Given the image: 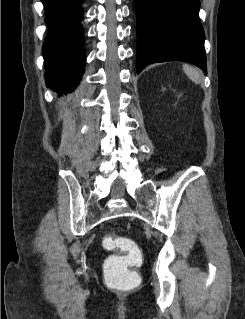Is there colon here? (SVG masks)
I'll list each match as a JSON object with an SVG mask.
<instances>
[{
  "mask_svg": "<svg viewBox=\"0 0 245 319\" xmlns=\"http://www.w3.org/2000/svg\"><path fill=\"white\" fill-rule=\"evenodd\" d=\"M102 246L120 254L110 257L105 266L108 280L116 284L136 285L138 280L128 274L129 268L140 262V255L135 243L128 238L108 235L103 238Z\"/></svg>",
  "mask_w": 245,
  "mask_h": 319,
  "instance_id": "colon-1",
  "label": "colon"
}]
</instances>
